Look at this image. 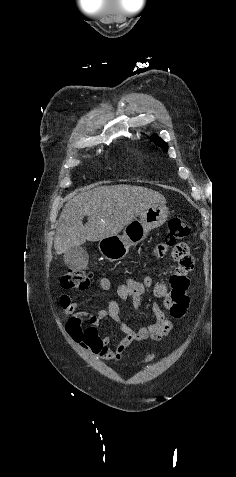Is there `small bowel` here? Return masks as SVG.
<instances>
[{"mask_svg":"<svg viewBox=\"0 0 236 477\" xmlns=\"http://www.w3.org/2000/svg\"><path fill=\"white\" fill-rule=\"evenodd\" d=\"M166 248L159 245L157 255L162 256ZM176 259V258H175ZM179 268L172 276L169 284H154L151 276H146L142 281L127 279L116 287L118 297L124 302L138 309L142 303V297L146 289L153 288L154 295L162 299L164 307L169 311L173 319H182L189 308L190 298L188 295L189 280L187 273L194 265V260L190 254L176 259ZM100 288L108 292L112 288L111 280L102 277L99 280ZM63 312L67 315L65 329L71 339L88 349L97 357L109 362H120L126 357L127 349L134 342L143 340L160 341L166 337L173 329L172 320L166 315L158 303L152 306V313L155 321L141 326L135 330L126 324L121 318V305L116 300H110L107 305L96 312L81 311L77 303L71 300L69 295H62L59 300ZM113 319L116 321L124 337L115 348L111 347L110 337L100 336V321L103 319ZM150 352L145 355L141 362H147L154 357Z\"/></svg>","mask_w":236,"mask_h":477,"instance_id":"c3829d8e","label":"small bowel"}]
</instances>
